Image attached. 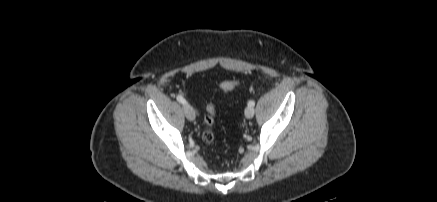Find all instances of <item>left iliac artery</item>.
Masks as SVG:
<instances>
[{
  "label": "left iliac artery",
  "mask_w": 437,
  "mask_h": 202,
  "mask_svg": "<svg viewBox=\"0 0 437 202\" xmlns=\"http://www.w3.org/2000/svg\"><path fill=\"white\" fill-rule=\"evenodd\" d=\"M254 105H255V101L254 100H251V101L248 102V106H252L253 107Z\"/></svg>",
  "instance_id": "44dca946"
}]
</instances>
